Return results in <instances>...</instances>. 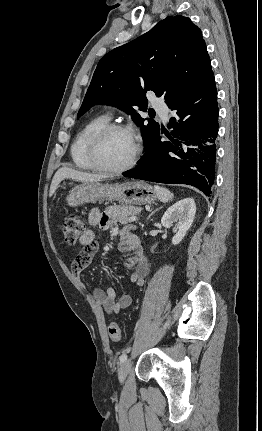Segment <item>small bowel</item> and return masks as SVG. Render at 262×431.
Returning <instances> with one entry per match:
<instances>
[{"label": "small bowel", "mask_w": 262, "mask_h": 431, "mask_svg": "<svg viewBox=\"0 0 262 431\" xmlns=\"http://www.w3.org/2000/svg\"><path fill=\"white\" fill-rule=\"evenodd\" d=\"M91 227H98L106 230L111 227V220L106 212L98 208L90 211L88 216ZM136 227L133 224L124 225L122 228L116 226L111 227V231L115 234H120V246L123 250L129 251L130 255L127 257L125 263L131 268V282L136 285H142L149 270V264L145 256L144 247L135 233ZM79 244L84 247V251L72 260L71 273L77 284L81 288H86L88 285L83 280L81 273L87 268L94 255L98 251V246L95 243V233L93 229L85 231L80 237ZM95 301L103 308L106 314H116L122 309L128 308L132 304V297L128 294L122 295L119 299L115 288L108 287L106 291L95 290Z\"/></svg>", "instance_id": "small-bowel-1"}]
</instances>
